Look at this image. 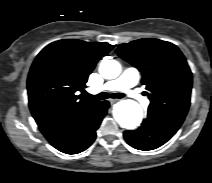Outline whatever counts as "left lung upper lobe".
Here are the masks:
<instances>
[{
  "label": "left lung upper lobe",
  "mask_w": 212,
  "mask_h": 183,
  "mask_svg": "<svg viewBox=\"0 0 212 183\" xmlns=\"http://www.w3.org/2000/svg\"><path fill=\"white\" fill-rule=\"evenodd\" d=\"M116 52L141 72L142 84L150 91L149 108L186 116L190 106L192 73L177 46L144 38L121 44Z\"/></svg>",
  "instance_id": "1"
}]
</instances>
